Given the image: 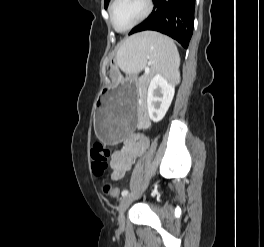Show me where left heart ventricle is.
I'll return each mask as SVG.
<instances>
[{"label":"left heart ventricle","mask_w":264,"mask_h":247,"mask_svg":"<svg viewBox=\"0 0 264 247\" xmlns=\"http://www.w3.org/2000/svg\"><path fill=\"white\" fill-rule=\"evenodd\" d=\"M146 9L145 0H118L114 7V22L123 29L137 21Z\"/></svg>","instance_id":"left-heart-ventricle-1"}]
</instances>
